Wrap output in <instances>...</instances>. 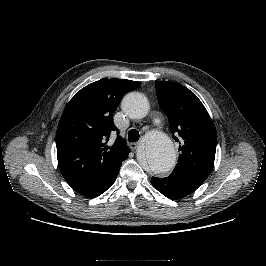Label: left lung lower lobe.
I'll return each mask as SVG.
<instances>
[{"mask_svg": "<svg viewBox=\"0 0 266 266\" xmlns=\"http://www.w3.org/2000/svg\"><path fill=\"white\" fill-rule=\"evenodd\" d=\"M151 181L153 186L164 196L174 200L183 198L200 187L199 184L172 174L164 178L152 177Z\"/></svg>", "mask_w": 266, "mask_h": 266, "instance_id": "obj_1", "label": "left lung lower lobe"}]
</instances>
